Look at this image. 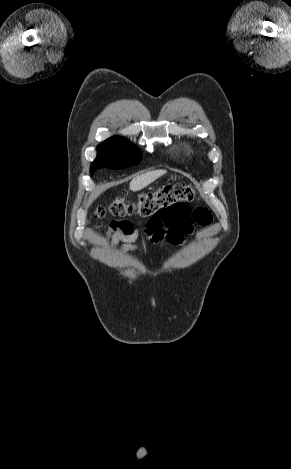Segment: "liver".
<instances>
[{"mask_svg": "<svg viewBox=\"0 0 291 469\" xmlns=\"http://www.w3.org/2000/svg\"><path fill=\"white\" fill-rule=\"evenodd\" d=\"M165 173L166 170H155L137 176L130 182V189L134 192L139 191L151 184L153 181H155Z\"/></svg>", "mask_w": 291, "mask_h": 469, "instance_id": "liver-1", "label": "liver"}]
</instances>
